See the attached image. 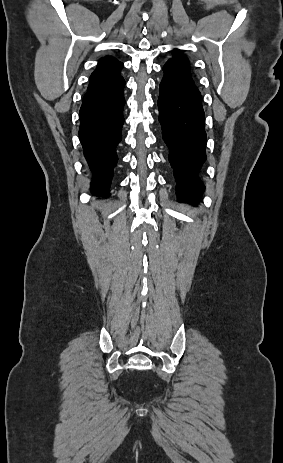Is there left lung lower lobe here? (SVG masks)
I'll return each mask as SVG.
<instances>
[{
	"mask_svg": "<svg viewBox=\"0 0 283 463\" xmlns=\"http://www.w3.org/2000/svg\"><path fill=\"white\" fill-rule=\"evenodd\" d=\"M158 99L162 135L169 148V161L180 201L198 203L204 185L198 178L206 160L205 114L190 71L169 60L163 67Z\"/></svg>",
	"mask_w": 283,
	"mask_h": 463,
	"instance_id": "1",
	"label": "left lung lower lobe"
}]
</instances>
